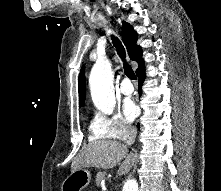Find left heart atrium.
<instances>
[{
  "instance_id": "left-heart-atrium-1",
  "label": "left heart atrium",
  "mask_w": 221,
  "mask_h": 191,
  "mask_svg": "<svg viewBox=\"0 0 221 191\" xmlns=\"http://www.w3.org/2000/svg\"><path fill=\"white\" fill-rule=\"evenodd\" d=\"M123 112L127 120L132 121L137 115V107L135 103L127 99L123 103Z\"/></svg>"
}]
</instances>
